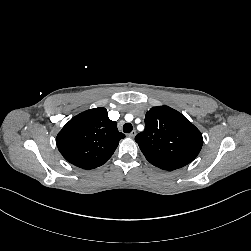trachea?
Returning <instances> with one entry per match:
<instances>
[{
    "label": "trachea",
    "instance_id": "trachea-1",
    "mask_svg": "<svg viewBox=\"0 0 251 251\" xmlns=\"http://www.w3.org/2000/svg\"><path fill=\"white\" fill-rule=\"evenodd\" d=\"M132 129H133V126H132V124H130V123H126V124H124V126H123V131H124L125 133H130V132L132 131Z\"/></svg>",
    "mask_w": 251,
    "mask_h": 251
}]
</instances>
